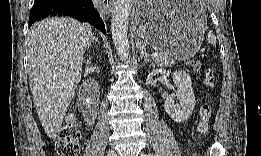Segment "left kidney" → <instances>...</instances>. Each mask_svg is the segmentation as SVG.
I'll list each match as a JSON object with an SVG mask.
<instances>
[{"mask_svg":"<svg viewBox=\"0 0 261 156\" xmlns=\"http://www.w3.org/2000/svg\"><path fill=\"white\" fill-rule=\"evenodd\" d=\"M173 81L177 92L166 98L164 108L175 122L181 123L191 116L196 100L191 78L185 71L174 72Z\"/></svg>","mask_w":261,"mask_h":156,"instance_id":"5707ae66","label":"left kidney"}]
</instances>
